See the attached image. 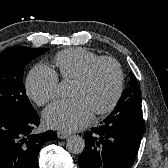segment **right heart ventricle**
I'll use <instances>...</instances> for the list:
<instances>
[{
	"label": "right heart ventricle",
	"instance_id": "right-heart-ventricle-1",
	"mask_svg": "<svg viewBox=\"0 0 168 168\" xmlns=\"http://www.w3.org/2000/svg\"><path fill=\"white\" fill-rule=\"evenodd\" d=\"M100 56L86 48H69L60 51L54 58L59 73L65 80H74L89 63Z\"/></svg>",
	"mask_w": 168,
	"mask_h": 168
}]
</instances>
